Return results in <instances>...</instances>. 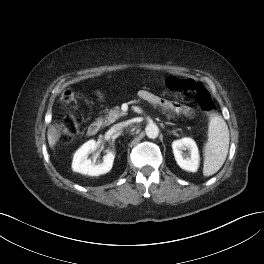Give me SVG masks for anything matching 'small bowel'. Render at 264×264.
I'll return each mask as SVG.
<instances>
[{"label":"small bowel","mask_w":264,"mask_h":264,"mask_svg":"<svg viewBox=\"0 0 264 264\" xmlns=\"http://www.w3.org/2000/svg\"><path fill=\"white\" fill-rule=\"evenodd\" d=\"M139 96L150 103L161 106L168 111L182 113L185 115H191L193 113L192 109L189 106L160 98L147 90H140Z\"/></svg>","instance_id":"small-bowel-1"}]
</instances>
